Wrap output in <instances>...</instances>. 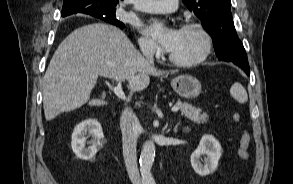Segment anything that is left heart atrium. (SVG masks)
<instances>
[{"mask_svg":"<svg viewBox=\"0 0 293 184\" xmlns=\"http://www.w3.org/2000/svg\"><path fill=\"white\" fill-rule=\"evenodd\" d=\"M148 31L167 51L174 48L180 35V30L167 27L158 21L151 23Z\"/></svg>","mask_w":293,"mask_h":184,"instance_id":"1","label":"left heart atrium"}]
</instances>
